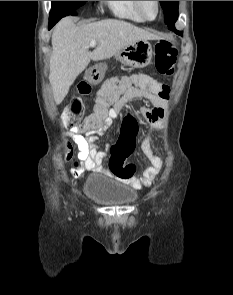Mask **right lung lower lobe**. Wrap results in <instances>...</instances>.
Masks as SVG:
<instances>
[{"label":"right lung lower lobe","instance_id":"98d812e1","mask_svg":"<svg viewBox=\"0 0 233 295\" xmlns=\"http://www.w3.org/2000/svg\"><path fill=\"white\" fill-rule=\"evenodd\" d=\"M69 13L71 15H76V14H78V10H73V11H71ZM61 18H62V16L50 15L48 29H51Z\"/></svg>","mask_w":233,"mask_h":295}]
</instances>
